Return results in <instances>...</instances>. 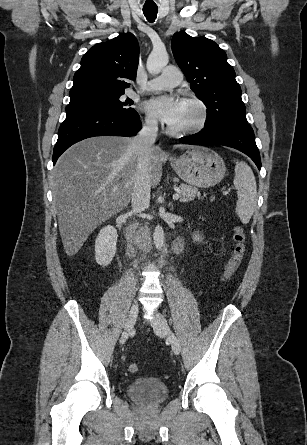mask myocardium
Masks as SVG:
<instances>
[{
	"mask_svg": "<svg viewBox=\"0 0 307 445\" xmlns=\"http://www.w3.org/2000/svg\"><path fill=\"white\" fill-rule=\"evenodd\" d=\"M186 102L194 105L199 113V116L197 118V120L195 122H193L192 124L182 127V128H173L171 126L168 127V130L173 133V134H178L181 136H186L189 134H195L200 132L202 129H204L206 127V125L209 122L210 119V111L208 106L206 105V103L201 100L199 97L197 96H189L186 98L185 100Z\"/></svg>",
	"mask_w": 307,
	"mask_h": 445,
	"instance_id": "1",
	"label": "myocardium"
}]
</instances>
